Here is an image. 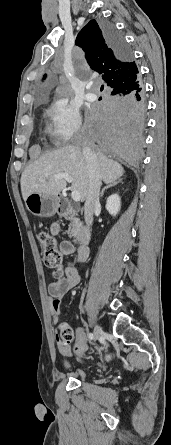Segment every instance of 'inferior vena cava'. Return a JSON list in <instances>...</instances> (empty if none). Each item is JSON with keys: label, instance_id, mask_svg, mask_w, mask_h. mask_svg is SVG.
Wrapping results in <instances>:
<instances>
[{"label": "inferior vena cava", "instance_id": "1", "mask_svg": "<svg viewBox=\"0 0 171 445\" xmlns=\"http://www.w3.org/2000/svg\"><path fill=\"white\" fill-rule=\"evenodd\" d=\"M83 154L89 171V191L85 202L84 215L86 223L92 224L94 210L100 206L101 175L96 154L87 146L83 148Z\"/></svg>", "mask_w": 171, "mask_h": 445}]
</instances>
